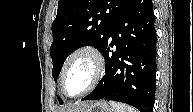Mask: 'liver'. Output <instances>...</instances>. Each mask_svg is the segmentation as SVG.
<instances>
[{"mask_svg": "<svg viewBox=\"0 0 193 112\" xmlns=\"http://www.w3.org/2000/svg\"><path fill=\"white\" fill-rule=\"evenodd\" d=\"M90 102H77V103H74V104H71L67 107V111H70V112H78L80 109L86 107Z\"/></svg>", "mask_w": 193, "mask_h": 112, "instance_id": "obj_1", "label": "liver"}]
</instances>
